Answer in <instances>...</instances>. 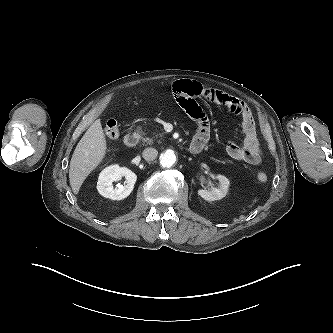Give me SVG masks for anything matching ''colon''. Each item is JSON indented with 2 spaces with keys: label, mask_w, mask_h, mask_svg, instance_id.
I'll return each mask as SVG.
<instances>
[{
  "label": "colon",
  "mask_w": 333,
  "mask_h": 333,
  "mask_svg": "<svg viewBox=\"0 0 333 333\" xmlns=\"http://www.w3.org/2000/svg\"><path fill=\"white\" fill-rule=\"evenodd\" d=\"M105 134L110 139H116L119 137V127L114 119H109L105 125ZM257 180L260 183H265L268 180L267 175L264 172H260L257 174Z\"/></svg>",
  "instance_id": "5ec220e1"
}]
</instances>
